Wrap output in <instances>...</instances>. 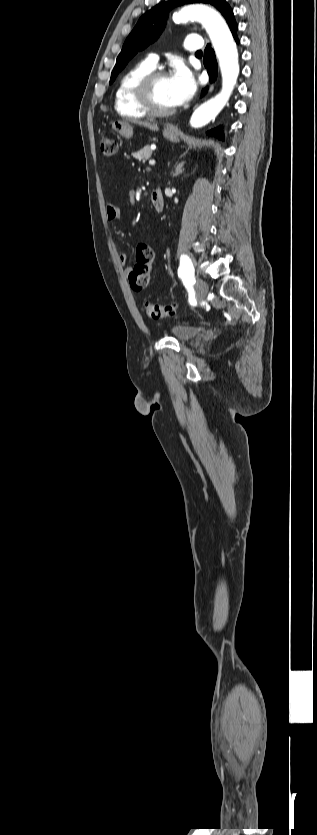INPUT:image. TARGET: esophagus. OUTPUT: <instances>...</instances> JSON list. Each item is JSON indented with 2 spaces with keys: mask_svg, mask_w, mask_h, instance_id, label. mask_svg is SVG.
Returning <instances> with one entry per match:
<instances>
[{
  "mask_svg": "<svg viewBox=\"0 0 317 835\" xmlns=\"http://www.w3.org/2000/svg\"><path fill=\"white\" fill-rule=\"evenodd\" d=\"M166 129L169 130V131L177 132L178 131V124L168 125Z\"/></svg>",
  "mask_w": 317,
  "mask_h": 835,
  "instance_id": "esophagus-1",
  "label": "esophagus"
}]
</instances>
